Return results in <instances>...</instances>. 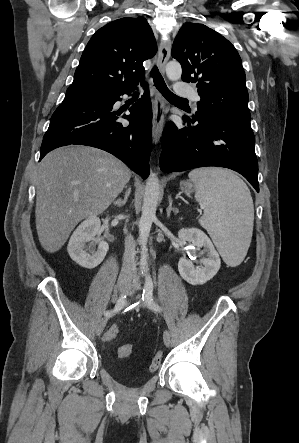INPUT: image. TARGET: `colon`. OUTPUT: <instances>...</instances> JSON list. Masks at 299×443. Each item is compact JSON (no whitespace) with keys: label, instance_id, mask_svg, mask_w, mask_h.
I'll return each instance as SVG.
<instances>
[{"label":"colon","instance_id":"colon-1","mask_svg":"<svg viewBox=\"0 0 299 443\" xmlns=\"http://www.w3.org/2000/svg\"><path fill=\"white\" fill-rule=\"evenodd\" d=\"M118 333H119V328L116 325H112L108 327L107 330L105 331L103 339L105 341L113 340L118 336ZM132 353H133V346L131 344H125L121 346L118 350V355L122 359L130 357ZM162 358L163 357L160 352H157L153 355L149 366L150 371H156L160 367L162 363Z\"/></svg>","mask_w":299,"mask_h":443}]
</instances>
